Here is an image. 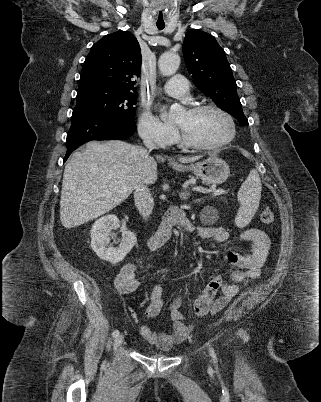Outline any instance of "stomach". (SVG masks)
Returning <instances> with one entry per match:
<instances>
[{
    "instance_id": "stomach-1",
    "label": "stomach",
    "mask_w": 321,
    "mask_h": 402,
    "mask_svg": "<svg viewBox=\"0 0 321 402\" xmlns=\"http://www.w3.org/2000/svg\"><path fill=\"white\" fill-rule=\"evenodd\" d=\"M178 171H193L206 184H221L230 174L228 164L221 158L209 157L189 166L174 165Z\"/></svg>"
}]
</instances>
